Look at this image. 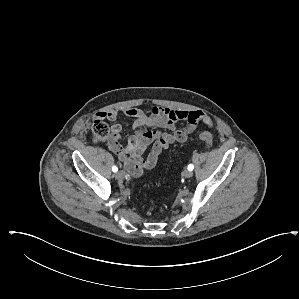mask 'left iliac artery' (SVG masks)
I'll list each match as a JSON object with an SVG mask.
<instances>
[{
    "label": "left iliac artery",
    "instance_id": "44dca946",
    "mask_svg": "<svg viewBox=\"0 0 299 299\" xmlns=\"http://www.w3.org/2000/svg\"><path fill=\"white\" fill-rule=\"evenodd\" d=\"M194 169V165L193 164H189L188 165V170L192 171Z\"/></svg>",
    "mask_w": 299,
    "mask_h": 299
}]
</instances>
